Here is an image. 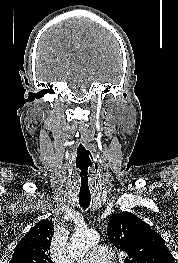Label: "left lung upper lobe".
<instances>
[{
	"label": "left lung upper lobe",
	"mask_w": 178,
	"mask_h": 263,
	"mask_svg": "<svg viewBox=\"0 0 178 263\" xmlns=\"http://www.w3.org/2000/svg\"><path fill=\"white\" fill-rule=\"evenodd\" d=\"M108 239L128 256L124 263H175L164 239L131 212L110 217Z\"/></svg>",
	"instance_id": "1"
}]
</instances>
